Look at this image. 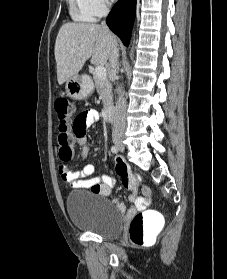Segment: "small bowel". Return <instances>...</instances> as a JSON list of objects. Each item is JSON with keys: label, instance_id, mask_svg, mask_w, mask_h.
<instances>
[{"label": "small bowel", "instance_id": "c3829d8e", "mask_svg": "<svg viewBox=\"0 0 227 279\" xmlns=\"http://www.w3.org/2000/svg\"><path fill=\"white\" fill-rule=\"evenodd\" d=\"M85 114L87 115V118L85 120V127L91 126L92 124L98 122L100 119L99 114L96 110H88ZM73 136L76 142L81 147L80 153L78 155V161H84L89 157L90 154L86 135L83 132L80 134H74ZM95 168V165L90 163L87 164L80 171H72L67 165L62 164L58 167V173L62 181L72 188L92 187V185H98V191L104 195L109 196L112 202L115 203L123 212H135L150 205L152 199L150 189L146 186L142 187L140 189L141 195L137 196L139 188L136 185L134 174L128 167V170L126 172L120 173L119 175L121 176L123 186L133 192L131 196V199L133 200V207L130 209L124 203L120 202L119 199L111 195V191L116 185V180L111 176L92 177L95 173Z\"/></svg>", "mask_w": 227, "mask_h": 279}]
</instances>
